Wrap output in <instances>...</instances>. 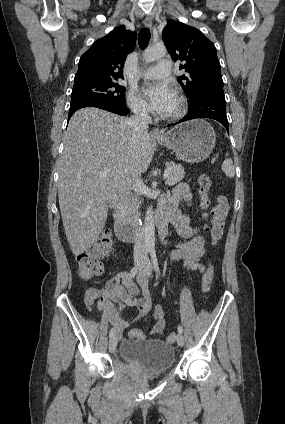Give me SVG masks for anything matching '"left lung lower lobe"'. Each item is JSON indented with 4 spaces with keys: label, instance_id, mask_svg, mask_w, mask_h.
I'll list each match as a JSON object with an SVG mask.
<instances>
[{
    "label": "left lung lower lobe",
    "instance_id": "0a47b994",
    "mask_svg": "<svg viewBox=\"0 0 285 424\" xmlns=\"http://www.w3.org/2000/svg\"><path fill=\"white\" fill-rule=\"evenodd\" d=\"M196 118H211L220 122L228 131L226 102L223 88H209L201 91L189 102L188 114L180 121L168 127Z\"/></svg>",
    "mask_w": 285,
    "mask_h": 424
}]
</instances>
